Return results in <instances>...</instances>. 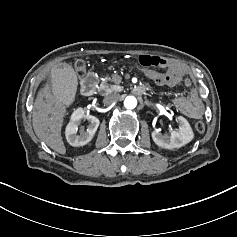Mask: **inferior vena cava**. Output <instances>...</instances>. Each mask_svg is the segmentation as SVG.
<instances>
[{"instance_id":"602c4592","label":"inferior vena cava","mask_w":237,"mask_h":237,"mask_svg":"<svg viewBox=\"0 0 237 237\" xmlns=\"http://www.w3.org/2000/svg\"><path fill=\"white\" fill-rule=\"evenodd\" d=\"M118 100H119L118 94H110L104 97L103 103L105 105H110V104L116 103Z\"/></svg>"}]
</instances>
